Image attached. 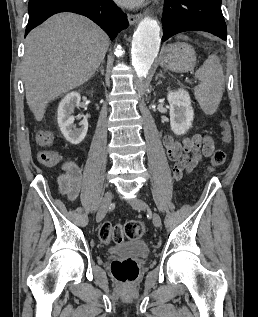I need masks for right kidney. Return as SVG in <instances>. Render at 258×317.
Returning a JSON list of instances; mask_svg holds the SVG:
<instances>
[{
  "label": "right kidney",
  "instance_id": "obj_1",
  "mask_svg": "<svg viewBox=\"0 0 258 317\" xmlns=\"http://www.w3.org/2000/svg\"><path fill=\"white\" fill-rule=\"evenodd\" d=\"M80 100V92H76V90L68 92V94L62 98L61 102H59L57 110V120L60 130L62 134H64L66 140H69L72 144H79V142L85 138L88 130L87 116H84L83 120H81L80 128H75L73 108L79 106Z\"/></svg>",
  "mask_w": 258,
  "mask_h": 317
}]
</instances>
